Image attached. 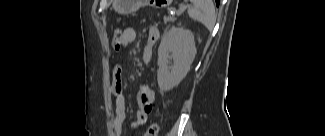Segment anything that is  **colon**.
Masks as SVG:
<instances>
[{
  "instance_id": "1",
  "label": "colon",
  "mask_w": 325,
  "mask_h": 136,
  "mask_svg": "<svg viewBox=\"0 0 325 136\" xmlns=\"http://www.w3.org/2000/svg\"><path fill=\"white\" fill-rule=\"evenodd\" d=\"M123 35L124 28L118 27L114 30L113 44L115 49L119 50L123 47ZM160 126L158 123H153L150 125L148 130L143 134V136H157L159 133Z\"/></svg>"
}]
</instances>
